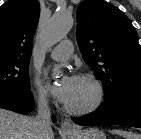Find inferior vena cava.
Returning a JSON list of instances; mask_svg holds the SVG:
<instances>
[{
    "label": "inferior vena cava",
    "mask_w": 141,
    "mask_h": 139,
    "mask_svg": "<svg viewBox=\"0 0 141 139\" xmlns=\"http://www.w3.org/2000/svg\"><path fill=\"white\" fill-rule=\"evenodd\" d=\"M51 131V113L47 99L44 94H39L33 139H47Z\"/></svg>",
    "instance_id": "inferior-vena-cava-1"
}]
</instances>
